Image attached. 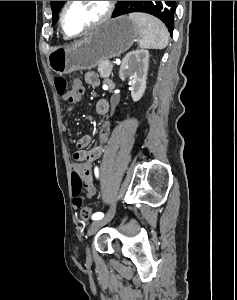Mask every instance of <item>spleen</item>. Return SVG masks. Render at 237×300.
Segmentation results:
<instances>
[{
	"label": "spleen",
	"instance_id": "1",
	"mask_svg": "<svg viewBox=\"0 0 237 300\" xmlns=\"http://www.w3.org/2000/svg\"><path fill=\"white\" fill-rule=\"evenodd\" d=\"M129 19L136 23L141 35L138 43L141 49H165L168 45V31L159 19L146 13H130Z\"/></svg>",
	"mask_w": 237,
	"mask_h": 300
}]
</instances>
